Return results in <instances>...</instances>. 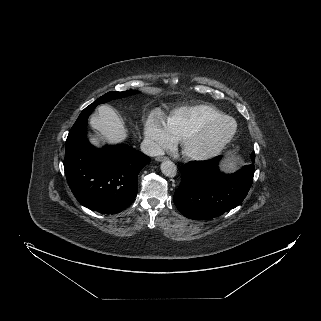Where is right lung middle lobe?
I'll list each match as a JSON object with an SVG mask.
<instances>
[{
	"instance_id": "obj_1",
	"label": "right lung middle lobe",
	"mask_w": 321,
	"mask_h": 321,
	"mask_svg": "<svg viewBox=\"0 0 321 321\" xmlns=\"http://www.w3.org/2000/svg\"><path fill=\"white\" fill-rule=\"evenodd\" d=\"M136 93H137V91H133V90H127V91H123V92L111 91V92L104 94L100 98H98L95 102H93L88 107H86V109H94L99 104L108 102L113 99L123 98L125 96L133 95Z\"/></svg>"
}]
</instances>
